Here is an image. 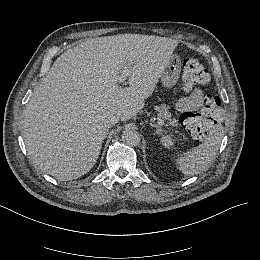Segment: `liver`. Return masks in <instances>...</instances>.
Here are the masks:
<instances>
[{
    "label": "liver",
    "mask_w": 260,
    "mask_h": 260,
    "mask_svg": "<svg viewBox=\"0 0 260 260\" xmlns=\"http://www.w3.org/2000/svg\"><path fill=\"white\" fill-rule=\"evenodd\" d=\"M178 45L154 35L117 34L68 49L35 88L23 112L22 136L34 167L58 180L77 179L95 165L105 119L135 117ZM129 69V87L118 86Z\"/></svg>",
    "instance_id": "1"
}]
</instances>
